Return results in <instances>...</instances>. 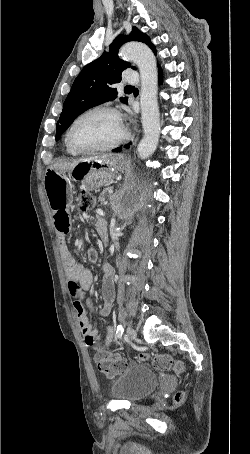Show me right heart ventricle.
I'll list each match as a JSON object with an SVG mask.
<instances>
[{"mask_svg":"<svg viewBox=\"0 0 250 454\" xmlns=\"http://www.w3.org/2000/svg\"><path fill=\"white\" fill-rule=\"evenodd\" d=\"M65 145H66V149H67V152H68V153L73 154V155L76 154V152L73 151V150L69 147V145H68V142H67V135H66V137H65Z\"/></svg>","mask_w":250,"mask_h":454,"instance_id":"right-heart-ventricle-1","label":"right heart ventricle"}]
</instances>
